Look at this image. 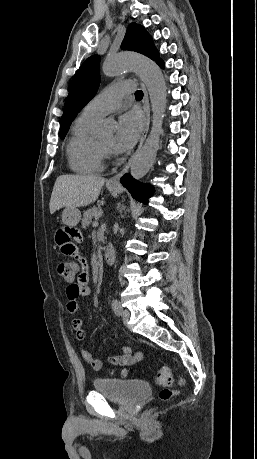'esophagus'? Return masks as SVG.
I'll return each mask as SVG.
<instances>
[{"label":"esophagus","mask_w":257,"mask_h":459,"mask_svg":"<svg viewBox=\"0 0 257 459\" xmlns=\"http://www.w3.org/2000/svg\"><path fill=\"white\" fill-rule=\"evenodd\" d=\"M141 87H142L143 93H144L143 110H144L145 116H146L145 127H144V130H143L141 139H140V143H139L138 148L135 151V153L130 157V159L128 160L126 165L123 167V169L119 173H117L116 175H114L113 177H111L109 179L108 184L112 185V186H120L121 177L129 170V167H130L133 159L135 158L136 154L141 149V147H142V145H143V143H144V141L146 139L148 130H149V125H150V105H149L148 91H147V89H146V87H145V85L143 83H141Z\"/></svg>","instance_id":"34e87169"}]
</instances>
